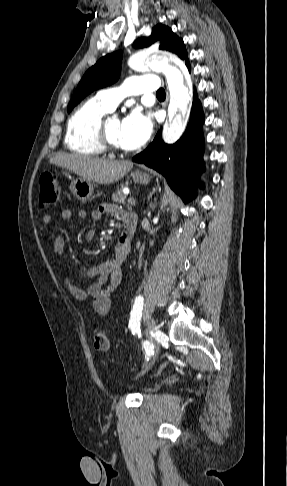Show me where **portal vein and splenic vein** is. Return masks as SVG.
Wrapping results in <instances>:
<instances>
[{"label": "portal vein and splenic vein", "mask_w": 287, "mask_h": 486, "mask_svg": "<svg viewBox=\"0 0 287 486\" xmlns=\"http://www.w3.org/2000/svg\"><path fill=\"white\" fill-rule=\"evenodd\" d=\"M128 204L133 206L136 204V200L133 197H129L127 200Z\"/></svg>", "instance_id": "portal-vein-and-splenic-vein-1"}]
</instances>
